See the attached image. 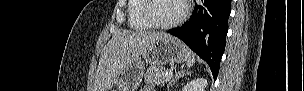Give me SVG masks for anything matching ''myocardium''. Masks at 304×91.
I'll return each instance as SVG.
<instances>
[{"mask_svg": "<svg viewBox=\"0 0 304 91\" xmlns=\"http://www.w3.org/2000/svg\"><path fill=\"white\" fill-rule=\"evenodd\" d=\"M152 1L154 0H143V9H142V14L144 19L147 21V23L151 26V28L154 29H160V30H167V29H172L174 27H177L180 25L187 17L189 13V5L186 0H180L182 3V13L177 17L175 20L169 23H158L156 22L152 15H151V6H152Z\"/></svg>", "mask_w": 304, "mask_h": 91, "instance_id": "f54148a6", "label": "myocardium"}]
</instances>
